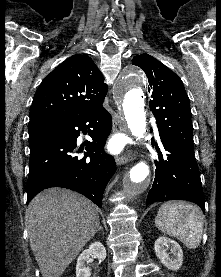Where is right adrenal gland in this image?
<instances>
[{"mask_svg": "<svg viewBox=\"0 0 221 277\" xmlns=\"http://www.w3.org/2000/svg\"><path fill=\"white\" fill-rule=\"evenodd\" d=\"M103 230V227L102 226H99L98 230L97 231H102Z\"/></svg>", "mask_w": 221, "mask_h": 277, "instance_id": "obj_1", "label": "right adrenal gland"}]
</instances>
